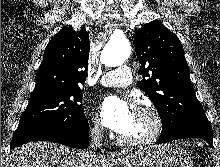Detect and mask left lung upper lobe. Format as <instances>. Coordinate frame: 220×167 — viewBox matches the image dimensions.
<instances>
[{
	"mask_svg": "<svg viewBox=\"0 0 220 167\" xmlns=\"http://www.w3.org/2000/svg\"><path fill=\"white\" fill-rule=\"evenodd\" d=\"M134 46L141 63L138 81L162 120V132H173L184 123L206 117L197 100L179 38L160 22L138 29Z\"/></svg>",
	"mask_w": 220,
	"mask_h": 167,
	"instance_id": "1",
	"label": "left lung upper lobe"
}]
</instances>
